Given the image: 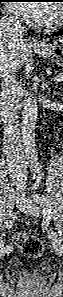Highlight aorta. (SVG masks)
Masks as SVG:
<instances>
[{
  "label": "aorta",
  "instance_id": "aorta-1",
  "mask_svg": "<svg viewBox=\"0 0 63 297\" xmlns=\"http://www.w3.org/2000/svg\"><path fill=\"white\" fill-rule=\"evenodd\" d=\"M38 118V105L34 98L24 101L22 111V138L24 143V152L29 161L36 164L37 153L35 145V129Z\"/></svg>",
  "mask_w": 63,
  "mask_h": 297
}]
</instances>
